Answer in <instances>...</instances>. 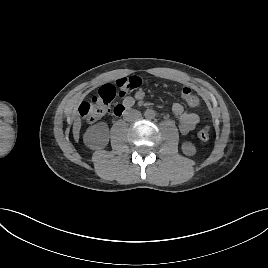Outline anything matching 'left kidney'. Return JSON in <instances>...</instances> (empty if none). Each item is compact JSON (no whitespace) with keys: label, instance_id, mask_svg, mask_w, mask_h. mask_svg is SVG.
<instances>
[{"label":"left kidney","instance_id":"obj_1","mask_svg":"<svg viewBox=\"0 0 268 268\" xmlns=\"http://www.w3.org/2000/svg\"><path fill=\"white\" fill-rule=\"evenodd\" d=\"M182 151L185 155L192 156L196 153V148L194 144L189 141H186L182 144Z\"/></svg>","mask_w":268,"mask_h":268}]
</instances>
